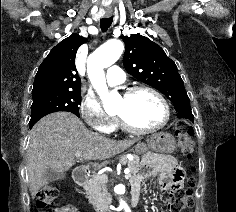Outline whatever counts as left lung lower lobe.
<instances>
[{"mask_svg": "<svg viewBox=\"0 0 236 212\" xmlns=\"http://www.w3.org/2000/svg\"><path fill=\"white\" fill-rule=\"evenodd\" d=\"M178 118L189 119L190 121L193 122L194 116H193V114L191 112V108H189V109H181L180 111H178Z\"/></svg>", "mask_w": 236, "mask_h": 212, "instance_id": "1", "label": "left lung lower lobe"}]
</instances>
